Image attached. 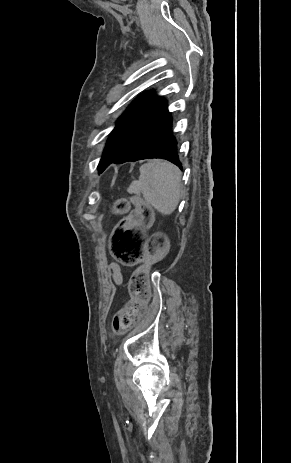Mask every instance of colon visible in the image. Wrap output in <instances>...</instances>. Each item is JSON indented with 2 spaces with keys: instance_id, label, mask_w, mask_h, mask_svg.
Here are the masks:
<instances>
[{
  "instance_id": "5ec220e1",
  "label": "colon",
  "mask_w": 291,
  "mask_h": 463,
  "mask_svg": "<svg viewBox=\"0 0 291 463\" xmlns=\"http://www.w3.org/2000/svg\"><path fill=\"white\" fill-rule=\"evenodd\" d=\"M130 201L134 209L113 228L109 243L111 256L125 266H133L157 257L167 248L163 233H153L147 238L141 231V228L152 223L153 211L150 205L139 197H133ZM128 206V200L120 199L116 202L115 209L123 211ZM146 272V267L142 266L134 274L130 285L132 299L113 319L112 327L115 333L126 331L143 312L148 296Z\"/></svg>"
}]
</instances>
